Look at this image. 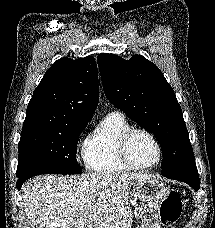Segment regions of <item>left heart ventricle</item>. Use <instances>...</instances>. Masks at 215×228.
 <instances>
[{
	"label": "left heart ventricle",
	"instance_id": "left-heart-ventricle-1",
	"mask_svg": "<svg viewBox=\"0 0 215 228\" xmlns=\"http://www.w3.org/2000/svg\"><path fill=\"white\" fill-rule=\"evenodd\" d=\"M131 162L137 166H147L155 162L157 150L152 140L143 133H136L128 147Z\"/></svg>",
	"mask_w": 215,
	"mask_h": 228
}]
</instances>
